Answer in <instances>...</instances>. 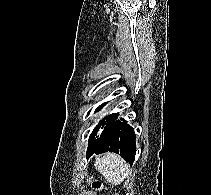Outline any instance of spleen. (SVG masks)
Wrapping results in <instances>:
<instances>
[{
	"label": "spleen",
	"mask_w": 211,
	"mask_h": 195,
	"mask_svg": "<svg viewBox=\"0 0 211 195\" xmlns=\"http://www.w3.org/2000/svg\"><path fill=\"white\" fill-rule=\"evenodd\" d=\"M95 167L112 184H121L131 173L129 164L114 153L98 159Z\"/></svg>",
	"instance_id": "obj_1"
}]
</instances>
